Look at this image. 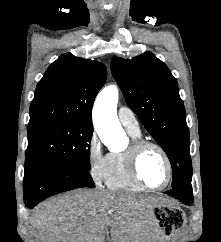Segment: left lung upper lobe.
Listing matches in <instances>:
<instances>
[{
    "instance_id": "obj_1",
    "label": "left lung upper lobe",
    "mask_w": 221,
    "mask_h": 242,
    "mask_svg": "<svg viewBox=\"0 0 221 242\" xmlns=\"http://www.w3.org/2000/svg\"><path fill=\"white\" fill-rule=\"evenodd\" d=\"M110 66L126 103L167 154L173 171L172 188L191 183L185 107L168 67L150 52L131 60L116 57Z\"/></svg>"
}]
</instances>
